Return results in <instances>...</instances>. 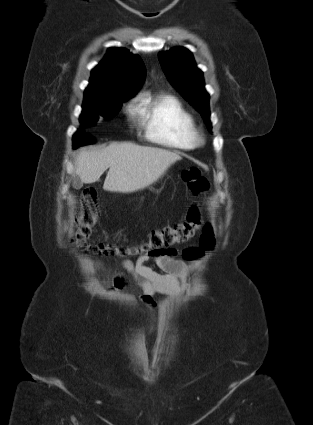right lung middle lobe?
Masks as SVG:
<instances>
[{"label":"right lung middle lobe","mask_w":313,"mask_h":425,"mask_svg":"<svg viewBox=\"0 0 313 425\" xmlns=\"http://www.w3.org/2000/svg\"><path fill=\"white\" fill-rule=\"evenodd\" d=\"M129 98L131 97L127 95L114 94L98 100L84 102L82 106L83 111L79 119L81 126H93L100 118L109 119L115 116L120 111L122 102H125ZM78 132L73 137L74 148L89 144L83 137L78 135Z\"/></svg>","instance_id":"right-lung-middle-lobe-1"}]
</instances>
